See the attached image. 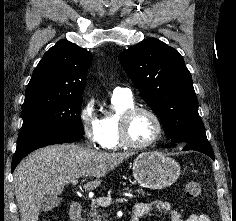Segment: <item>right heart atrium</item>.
<instances>
[{"instance_id": "right-heart-atrium-1", "label": "right heart atrium", "mask_w": 236, "mask_h": 221, "mask_svg": "<svg viewBox=\"0 0 236 221\" xmlns=\"http://www.w3.org/2000/svg\"><path fill=\"white\" fill-rule=\"evenodd\" d=\"M79 120L86 140L93 147H101L103 144L102 128L96 112L94 99H87L79 111Z\"/></svg>"}]
</instances>
